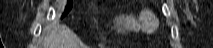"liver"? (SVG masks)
Masks as SVG:
<instances>
[{
    "label": "liver",
    "mask_w": 213,
    "mask_h": 48,
    "mask_svg": "<svg viewBox=\"0 0 213 48\" xmlns=\"http://www.w3.org/2000/svg\"><path fill=\"white\" fill-rule=\"evenodd\" d=\"M43 48H84L76 34L65 25L48 30Z\"/></svg>",
    "instance_id": "6515ba94"
}]
</instances>
